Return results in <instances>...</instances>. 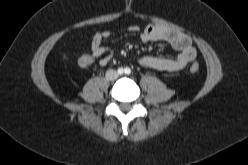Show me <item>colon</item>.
Instances as JSON below:
<instances>
[{"label": "colon", "instance_id": "obj_1", "mask_svg": "<svg viewBox=\"0 0 248 165\" xmlns=\"http://www.w3.org/2000/svg\"><path fill=\"white\" fill-rule=\"evenodd\" d=\"M92 62H93V58L91 55L88 54L81 55L78 59V64L81 67H87L91 65ZM189 70L191 73H197L199 71V65L197 63H193L190 65Z\"/></svg>", "mask_w": 248, "mask_h": 165}]
</instances>
